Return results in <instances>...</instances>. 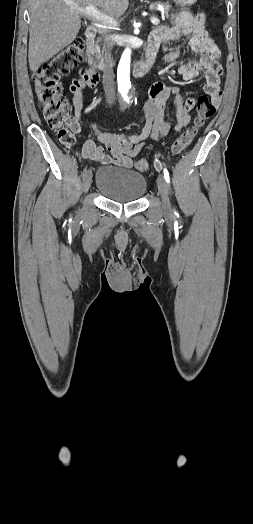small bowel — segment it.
Wrapping results in <instances>:
<instances>
[{"label": "small bowel", "mask_w": 253, "mask_h": 524, "mask_svg": "<svg viewBox=\"0 0 253 524\" xmlns=\"http://www.w3.org/2000/svg\"><path fill=\"white\" fill-rule=\"evenodd\" d=\"M206 16L202 13L196 16L179 15L174 25L159 27L153 30L149 38L147 50L148 62L152 65L165 44L180 37L189 39L190 48L199 54L198 62H187L178 66V73L185 81H193L200 76L204 79V90L210 96L215 106L219 105L222 90L220 88L222 70L218 63L220 51L205 28ZM180 51H172L163 57L165 63L175 61ZM170 96H173L177 114L176 131H180L189 124L191 117L189 111L194 107L196 99H184L173 87L163 82H155L149 90V98L144 104L145 124L139 134L127 135L123 133H110L101 131L97 125L84 122V99L72 95L76 112V119L71 123L74 131L81 130L86 125L97 139L105 146H97L92 140L84 142L81 156L98 164L117 165L125 168L133 167V159L140 153L147 139L158 141L166 136L172 124L167 118L166 106Z\"/></svg>", "instance_id": "obj_1"}]
</instances>
